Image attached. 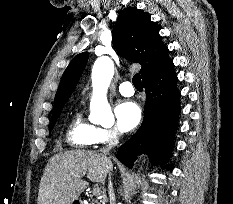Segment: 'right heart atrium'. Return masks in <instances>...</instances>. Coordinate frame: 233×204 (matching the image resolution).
<instances>
[{"instance_id": "right-heart-atrium-1", "label": "right heart atrium", "mask_w": 233, "mask_h": 204, "mask_svg": "<svg viewBox=\"0 0 233 204\" xmlns=\"http://www.w3.org/2000/svg\"><path fill=\"white\" fill-rule=\"evenodd\" d=\"M118 139V132L111 128L97 127L94 144L111 143Z\"/></svg>"}]
</instances>
